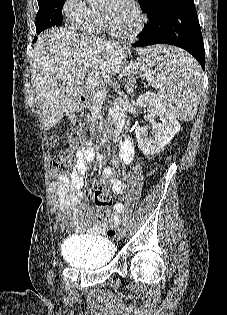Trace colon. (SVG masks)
I'll use <instances>...</instances> for the list:
<instances>
[{"label":"colon","mask_w":227,"mask_h":315,"mask_svg":"<svg viewBox=\"0 0 227 315\" xmlns=\"http://www.w3.org/2000/svg\"><path fill=\"white\" fill-rule=\"evenodd\" d=\"M67 138L72 149L81 147L86 141V133L82 128H71L67 133ZM59 143L57 136H51L49 144L52 147H56ZM73 164V155L71 151H64L58 153L49 164V171L51 178L66 173L71 169ZM95 202L98 208V216L101 219L107 218L110 209L113 205V199L106 187H99L95 193ZM115 229H110L109 234L114 235Z\"/></svg>","instance_id":"colon-1"}]
</instances>
